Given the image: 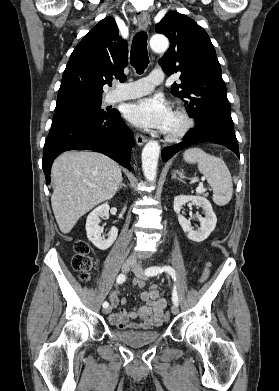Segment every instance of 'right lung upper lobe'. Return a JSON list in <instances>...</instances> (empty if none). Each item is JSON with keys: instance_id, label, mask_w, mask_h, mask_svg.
Instances as JSON below:
<instances>
[{"instance_id": "right-lung-upper-lobe-1", "label": "right lung upper lobe", "mask_w": 279, "mask_h": 391, "mask_svg": "<svg viewBox=\"0 0 279 391\" xmlns=\"http://www.w3.org/2000/svg\"><path fill=\"white\" fill-rule=\"evenodd\" d=\"M127 41L119 36L115 20H101L77 44L64 71L55 109L102 100L103 86L113 77L124 81Z\"/></svg>"}]
</instances>
